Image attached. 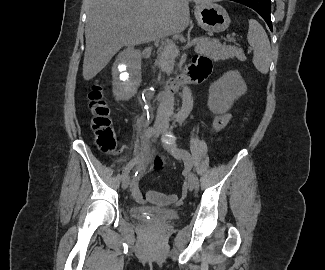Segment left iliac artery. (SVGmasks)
<instances>
[{"label":"left iliac artery","instance_id":"obj_1","mask_svg":"<svg viewBox=\"0 0 325 270\" xmlns=\"http://www.w3.org/2000/svg\"><path fill=\"white\" fill-rule=\"evenodd\" d=\"M180 150L183 153V155L185 156V158L190 161V164H191L192 157H191L190 153L187 150H185V149H180ZM195 188L196 189L199 188V182H198L197 177H195Z\"/></svg>","mask_w":325,"mask_h":270}]
</instances>
